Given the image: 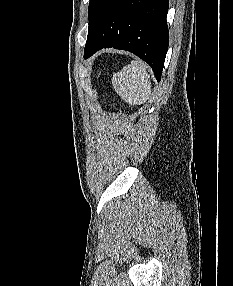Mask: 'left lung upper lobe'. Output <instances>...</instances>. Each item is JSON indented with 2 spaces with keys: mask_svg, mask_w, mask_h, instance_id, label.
<instances>
[{
  "mask_svg": "<svg viewBox=\"0 0 233 286\" xmlns=\"http://www.w3.org/2000/svg\"><path fill=\"white\" fill-rule=\"evenodd\" d=\"M93 1H94V0H90L88 14H89L90 7H91V4L93 3Z\"/></svg>",
  "mask_w": 233,
  "mask_h": 286,
  "instance_id": "obj_1",
  "label": "left lung upper lobe"
}]
</instances>
